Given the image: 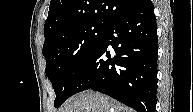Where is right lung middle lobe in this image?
I'll use <instances>...</instances> for the list:
<instances>
[{
  "mask_svg": "<svg viewBox=\"0 0 193 112\" xmlns=\"http://www.w3.org/2000/svg\"><path fill=\"white\" fill-rule=\"evenodd\" d=\"M106 26L99 23H80L67 27L44 43L46 75L51 81L60 107L70 97L81 70L100 43Z\"/></svg>",
  "mask_w": 193,
  "mask_h": 112,
  "instance_id": "dd1d6c3e",
  "label": "right lung middle lobe"
}]
</instances>
